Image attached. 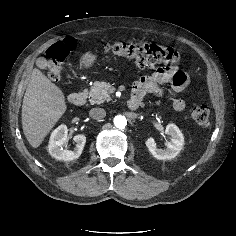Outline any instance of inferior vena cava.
<instances>
[{
	"label": "inferior vena cava",
	"mask_w": 236,
	"mask_h": 236,
	"mask_svg": "<svg viewBox=\"0 0 236 236\" xmlns=\"http://www.w3.org/2000/svg\"><path fill=\"white\" fill-rule=\"evenodd\" d=\"M89 116L95 120H100L106 116V111L103 108H92Z\"/></svg>",
	"instance_id": "inferior-vena-cava-1"
}]
</instances>
